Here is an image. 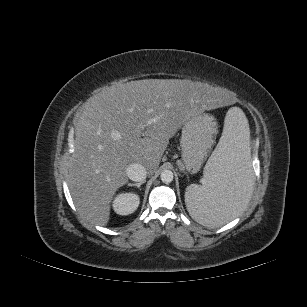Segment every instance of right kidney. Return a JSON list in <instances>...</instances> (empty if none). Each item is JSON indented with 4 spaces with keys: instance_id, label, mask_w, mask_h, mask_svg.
Returning <instances> with one entry per match:
<instances>
[{
    "instance_id": "right-kidney-1",
    "label": "right kidney",
    "mask_w": 307,
    "mask_h": 307,
    "mask_svg": "<svg viewBox=\"0 0 307 307\" xmlns=\"http://www.w3.org/2000/svg\"><path fill=\"white\" fill-rule=\"evenodd\" d=\"M140 198L135 193H120L113 201V208L119 215H128L133 213L139 206Z\"/></svg>"
}]
</instances>
